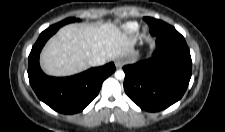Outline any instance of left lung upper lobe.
<instances>
[{"instance_id":"left-lung-upper-lobe-1","label":"left lung upper lobe","mask_w":225,"mask_h":132,"mask_svg":"<svg viewBox=\"0 0 225 132\" xmlns=\"http://www.w3.org/2000/svg\"><path fill=\"white\" fill-rule=\"evenodd\" d=\"M144 20L148 23V21L145 18H144ZM172 29H175V28L165 23L161 28L150 27V32H152L153 34H157V33H162L165 31L172 30Z\"/></svg>"}]
</instances>
